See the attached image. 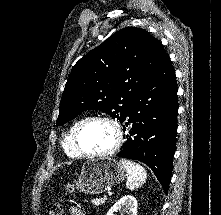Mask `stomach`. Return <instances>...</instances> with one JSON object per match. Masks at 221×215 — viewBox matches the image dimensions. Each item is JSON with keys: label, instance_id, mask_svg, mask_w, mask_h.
Returning <instances> with one entry per match:
<instances>
[{"label": "stomach", "instance_id": "0dacf381", "mask_svg": "<svg viewBox=\"0 0 221 215\" xmlns=\"http://www.w3.org/2000/svg\"><path fill=\"white\" fill-rule=\"evenodd\" d=\"M125 177V169L113 158H100L87 161L76 181L77 189L85 194H100Z\"/></svg>", "mask_w": 221, "mask_h": 215}]
</instances>
